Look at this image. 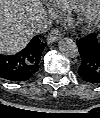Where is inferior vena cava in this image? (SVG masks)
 Returning <instances> with one entry per match:
<instances>
[{
	"instance_id": "inferior-vena-cava-1",
	"label": "inferior vena cava",
	"mask_w": 100,
	"mask_h": 118,
	"mask_svg": "<svg viewBox=\"0 0 100 118\" xmlns=\"http://www.w3.org/2000/svg\"><path fill=\"white\" fill-rule=\"evenodd\" d=\"M52 27V20L48 17H41L36 19L31 24V30L36 33H45Z\"/></svg>"
}]
</instances>
